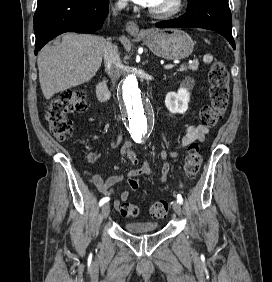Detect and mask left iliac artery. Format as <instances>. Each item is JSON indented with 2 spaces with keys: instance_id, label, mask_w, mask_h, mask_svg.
I'll return each instance as SVG.
<instances>
[{
  "instance_id": "1",
  "label": "left iliac artery",
  "mask_w": 272,
  "mask_h": 282,
  "mask_svg": "<svg viewBox=\"0 0 272 282\" xmlns=\"http://www.w3.org/2000/svg\"><path fill=\"white\" fill-rule=\"evenodd\" d=\"M177 202L182 204L183 203V198L181 195H177Z\"/></svg>"
}]
</instances>
